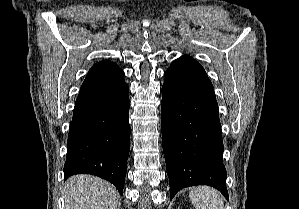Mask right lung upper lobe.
Listing matches in <instances>:
<instances>
[{
    "label": "right lung upper lobe",
    "instance_id": "1",
    "mask_svg": "<svg viewBox=\"0 0 299 209\" xmlns=\"http://www.w3.org/2000/svg\"><path fill=\"white\" fill-rule=\"evenodd\" d=\"M93 69H95V70L108 69L111 71L122 72V70L114 62H111L109 60H104V61L94 64L93 67L91 68V70H93Z\"/></svg>",
    "mask_w": 299,
    "mask_h": 209
}]
</instances>
